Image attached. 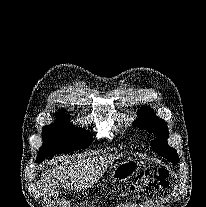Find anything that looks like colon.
Masks as SVG:
<instances>
[{"instance_id":"5ec220e1","label":"colon","mask_w":206,"mask_h":207,"mask_svg":"<svg viewBox=\"0 0 206 207\" xmlns=\"http://www.w3.org/2000/svg\"><path fill=\"white\" fill-rule=\"evenodd\" d=\"M169 175L165 168L152 167L139 172L132 181V191L142 192H160L169 185Z\"/></svg>"}]
</instances>
